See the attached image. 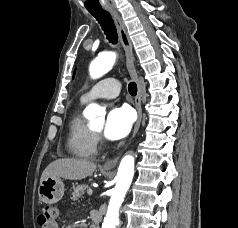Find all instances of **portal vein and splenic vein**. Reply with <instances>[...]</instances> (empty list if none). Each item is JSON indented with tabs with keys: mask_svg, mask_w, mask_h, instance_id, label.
<instances>
[{
	"mask_svg": "<svg viewBox=\"0 0 238 228\" xmlns=\"http://www.w3.org/2000/svg\"><path fill=\"white\" fill-rule=\"evenodd\" d=\"M88 194H89V195H92V190H88Z\"/></svg>",
	"mask_w": 238,
	"mask_h": 228,
	"instance_id": "portal-vein-and-splenic-vein-1",
	"label": "portal vein and splenic vein"
}]
</instances>
